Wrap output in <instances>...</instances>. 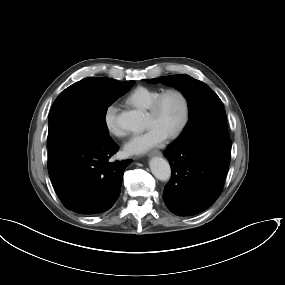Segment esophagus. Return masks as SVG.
<instances>
[{
    "label": "esophagus",
    "instance_id": "34e87169",
    "mask_svg": "<svg viewBox=\"0 0 285 285\" xmlns=\"http://www.w3.org/2000/svg\"><path fill=\"white\" fill-rule=\"evenodd\" d=\"M161 156L162 152L159 150H153L152 152L149 153V156Z\"/></svg>",
    "mask_w": 285,
    "mask_h": 285
}]
</instances>
